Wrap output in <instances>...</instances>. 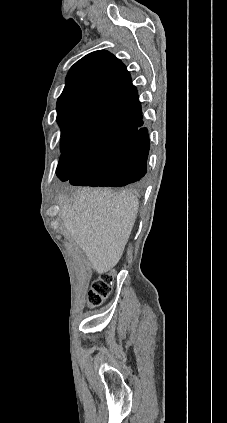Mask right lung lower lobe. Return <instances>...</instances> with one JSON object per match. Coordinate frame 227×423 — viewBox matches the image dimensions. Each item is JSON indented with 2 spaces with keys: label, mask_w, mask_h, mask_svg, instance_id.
Segmentation results:
<instances>
[{
  "label": "right lung lower lobe",
  "mask_w": 227,
  "mask_h": 423,
  "mask_svg": "<svg viewBox=\"0 0 227 423\" xmlns=\"http://www.w3.org/2000/svg\"><path fill=\"white\" fill-rule=\"evenodd\" d=\"M102 116L109 121L122 120L138 129L127 139L92 153L71 176L68 164L60 161L56 174L61 181L74 186L123 187L146 174L150 143L148 130L140 128L143 122L138 97L104 109Z\"/></svg>",
  "instance_id": "obj_1"
}]
</instances>
